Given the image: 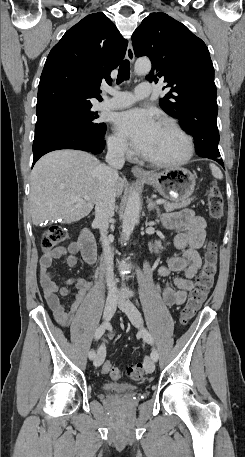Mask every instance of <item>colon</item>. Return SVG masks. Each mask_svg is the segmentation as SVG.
I'll list each match as a JSON object with an SVG mask.
<instances>
[{"mask_svg": "<svg viewBox=\"0 0 245 457\" xmlns=\"http://www.w3.org/2000/svg\"><path fill=\"white\" fill-rule=\"evenodd\" d=\"M207 207L211 218L220 219L224 213L223 194L216 183H212L207 190ZM66 237L65 230L60 226H50L42 233L41 245L44 251H51L56 248ZM217 271V247L214 242H209L204 253V263L202 270L197 277L195 286L184 305L180 321L187 324L199 310L202 303L209 294L215 274ZM101 372L109 374L112 379L118 380L122 376L119 368L113 367L109 360H106L101 366ZM143 366L141 364L133 365L127 368L126 374L130 380L137 381L143 377Z\"/></svg>", "mask_w": 245, "mask_h": 457, "instance_id": "colon-1", "label": "colon"}]
</instances>
